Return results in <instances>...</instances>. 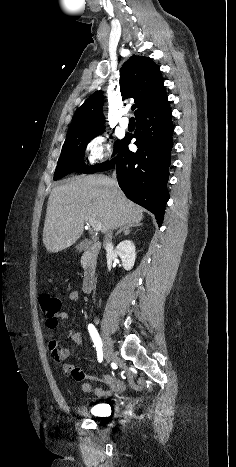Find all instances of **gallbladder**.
Instances as JSON below:
<instances>
[{"label":"gallbladder","mask_w":236,"mask_h":467,"mask_svg":"<svg viewBox=\"0 0 236 467\" xmlns=\"http://www.w3.org/2000/svg\"><path fill=\"white\" fill-rule=\"evenodd\" d=\"M85 247H86V242L85 241L80 242L77 246V250L82 251L85 249Z\"/></svg>","instance_id":"bac80fb5"}]
</instances>
